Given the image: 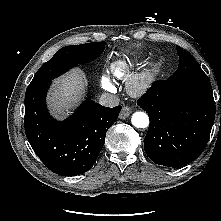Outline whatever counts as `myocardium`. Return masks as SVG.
<instances>
[{
    "label": "myocardium",
    "instance_id": "1",
    "mask_svg": "<svg viewBox=\"0 0 221 221\" xmlns=\"http://www.w3.org/2000/svg\"><path fill=\"white\" fill-rule=\"evenodd\" d=\"M154 79L153 68L143 69L129 80L128 90L132 95H142L151 87Z\"/></svg>",
    "mask_w": 221,
    "mask_h": 221
}]
</instances>
